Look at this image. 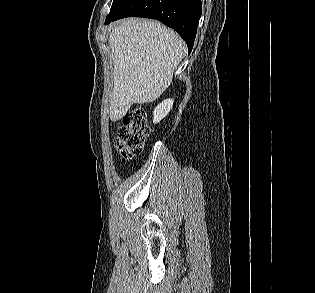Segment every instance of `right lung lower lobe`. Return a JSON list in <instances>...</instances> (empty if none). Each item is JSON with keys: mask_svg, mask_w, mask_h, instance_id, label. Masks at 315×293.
<instances>
[{"mask_svg": "<svg viewBox=\"0 0 315 293\" xmlns=\"http://www.w3.org/2000/svg\"><path fill=\"white\" fill-rule=\"evenodd\" d=\"M201 11V0H113L105 24L130 16L157 19L179 33L190 53Z\"/></svg>", "mask_w": 315, "mask_h": 293, "instance_id": "obj_1", "label": "right lung lower lobe"}]
</instances>
